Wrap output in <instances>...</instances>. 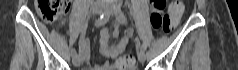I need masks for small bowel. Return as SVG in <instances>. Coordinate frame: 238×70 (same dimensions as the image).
<instances>
[{
  "mask_svg": "<svg viewBox=\"0 0 238 70\" xmlns=\"http://www.w3.org/2000/svg\"><path fill=\"white\" fill-rule=\"evenodd\" d=\"M160 13L162 12L159 11ZM126 33H131V30H127ZM119 34V25L115 24L112 28H102L100 31V38H99V50L102 56L113 59L116 58L125 48L123 47L121 40L117 41L113 44L109 43L111 37H117ZM79 49L80 53L87 63L89 61V51H90V42L86 37H82L79 41ZM111 65L108 61H104L103 63L96 65L93 70H110Z\"/></svg>",
  "mask_w": 238,
  "mask_h": 70,
  "instance_id": "c3829d8e",
  "label": "small bowel"
}]
</instances>
